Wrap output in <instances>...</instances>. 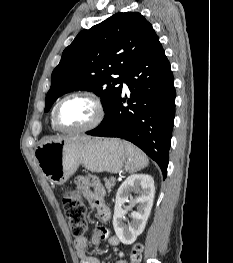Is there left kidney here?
Wrapping results in <instances>:
<instances>
[{
    "label": "left kidney",
    "mask_w": 233,
    "mask_h": 263,
    "mask_svg": "<svg viewBox=\"0 0 233 263\" xmlns=\"http://www.w3.org/2000/svg\"><path fill=\"white\" fill-rule=\"evenodd\" d=\"M131 192L138 194L131 202L137 205V210L131 212L132 221L127 225L123 223L127 209L122 206L128 201ZM155 194L154 180L147 174H133L129 176L119 187L116 194V202L113 215V227L118 239L126 245L135 242L143 232L150 215Z\"/></svg>",
    "instance_id": "left-kidney-1"
}]
</instances>
